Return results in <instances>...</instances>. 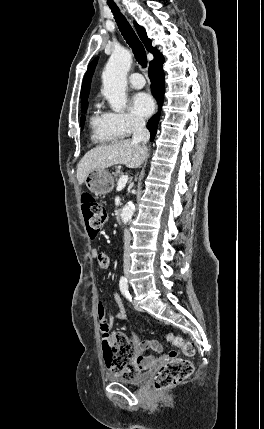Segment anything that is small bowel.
Listing matches in <instances>:
<instances>
[{
	"label": "small bowel",
	"mask_w": 264,
	"mask_h": 429,
	"mask_svg": "<svg viewBox=\"0 0 264 429\" xmlns=\"http://www.w3.org/2000/svg\"><path fill=\"white\" fill-rule=\"evenodd\" d=\"M91 255L98 260L99 266L103 269H106L110 265V257L103 253L99 252L97 249L91 250ZM115 301H116V312L109 316L107 319L108 323V330L114 325L116 320H125L127 318L126 310L123 305L122 300L120 297L115 294ZM99 305H103V303H99ZM102 335L103 331L101 330ZM131 343L134 346L135 349V362L137 366L139 367V370H147L149 368H152L153 366L157 365L158 363L162 362L168 357H171L173 354H176L175 352H171L168 356L162 354V347L157 341H147V342H141L136 338L131 339ZM148 349H152L157 352L154 356H146L145 352Z\"/></svg>",
	"instance_id": "small-bowel-1"
}]
</instances>
